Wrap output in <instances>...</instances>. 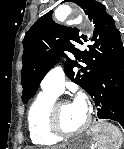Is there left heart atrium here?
<instances>
[{
    "label": "left heart atrium",
    "instance_id": "39dd6f15",
    "mask_svg": "<svg viewBox=\"0 0 124 149\" xmlns=\"http://www.w3.org/2000/svg\"><path fill=\"white\" fill-rule=\"evenodd\" d=\"M72 103L77 106L78 108L84 110V111H88V105H87V101L85 99V96L82 93H78Z\"/></svg>",
    "mask_w": 124,
    "mask_h": 149
}]
</instances>
